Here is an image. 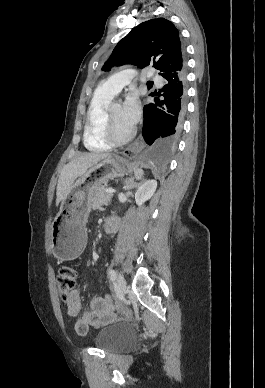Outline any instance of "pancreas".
Wrapping results in <instances>:
<instances>
[{
    "instance_id": "pancreas-1",
    "label": "pancreas",
    "mask_w": 265,
    "mask_h": 388,
    "mask_svg": "<svg viewBox=\"0 0 265 388\" xmlns=\"http://www.w3.org/2000/svg\"><path fill=\"white\" fill-rule=\"evenodd\" d=\"M107 188L105 186H102V184H98L96 190H94V194H91V206L93 208H101V206H109V202H111L110 194H107L105 192Z\"/></svg>"
}]
</instances>
